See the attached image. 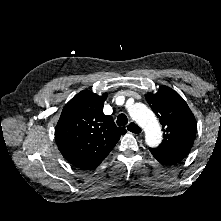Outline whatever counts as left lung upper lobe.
I'll return each mask as SVG.
<instances>
[{
  "label": "left lung upper lobe",
  "instance_id": "left-lung-upper-lobe-1",
  "mask_svg": "<svg viewBox=\"0 0 221 221\" xmlns=\"http://www.w3.org/2000/svg\"><path fill=\"white\" fill-rule=\"evenodd\" d=\"M146 100L162 125L163 141L157 147L172 149L193 145L197 122L184 99L167 86L159 87L157 93H148Z\"/></svg>",
  "mask_w": 221,
  "mask_h": 221
}]
</instances>
